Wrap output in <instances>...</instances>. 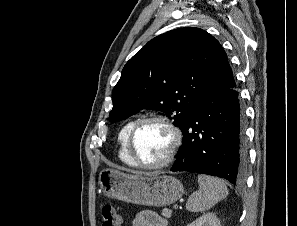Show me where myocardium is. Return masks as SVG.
I'll use <instances>...</instances> for the list:
<instances>
[{"label":"myocardium","instance_id":"obj_1","mask_svg":"<svg viewBox=\"0 0 297 226\" xmlns=\"http://www.w3.org/2000/svg\"><path fill=\"white\" fill-rule=\"evenodd\" d=\"M149 122H158L163 124L170 131L172 135V142L167 155L161 161L152 163V164H147L140 161V159L137 157L134 151V139H135L136 133L138 132V130L142 125ZM182 141H183L182 131L172 119L164 115L154 114V115H149V116L140 118L133 124L127 137V151L130 158L133 160L134 164L137 167H140L143 169H161L173 162L174 158L176 157L182 145Z\"/></svg>","mask_w":297,"mask_h":226}]
</instances>
